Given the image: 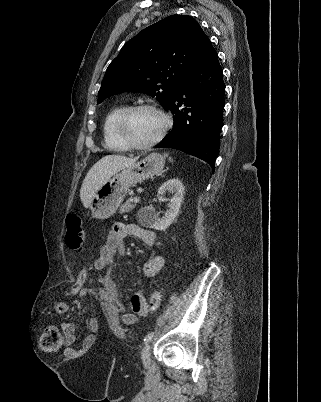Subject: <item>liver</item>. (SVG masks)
Masks as SVG:
<instances>
[{"label": "liver", "instance_id": "1", "mask_svg": "<svg viewBox=\"0 0 321 402\" xmlns=\"http://www.w3.org/2000/svg\"><path fill=\"white\" fill-rule=\"evenodd\" d=\"M138 157L107 155L97 161L88 171L81 189L80 198L84 207H89L96 191L120 170L134 164Z\"/></svg>", "mask_w": 321, "mask_h": 402}]
</instances>
